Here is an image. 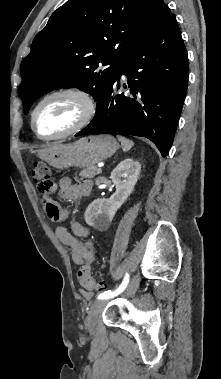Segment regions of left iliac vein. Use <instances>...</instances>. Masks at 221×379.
Returning a JSON list of instances; mask_svg holds the SVG:
<instances>
[{
	"instance_id": "4c4485c4",
	"label": "left iliac vein",
	"mask_w": 221,
	"mask_h": 379,
	"mask_svg": "<svg viewBox=\"0 0 221 379\" xmlns=\"http://www.w3.org/2000/svg\"><path fill=\"white\" fill-rule=\"evenodd\" d=\"M138 285H139V279H138V276H136L133 278L128 289L126 290L125 296L132 295L137 290ZM106 303H107L106 299H99L98 301L92 304L88 312L87 319H86V324L90 331L94 330L97 324L98 317L102 313Z\"/></svg>"
}]
</instances>
